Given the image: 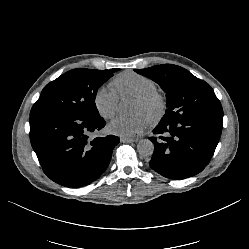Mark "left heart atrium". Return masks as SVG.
<instances>
[{"mask_svg":"<svg viewBox=\"0 0 249 249\" xmlns=\"http://www.w3.org/2000/svg\"><path fill=\"white\" fill-rule=\"evenodd\" d=\"M146 127L147 119L141 114L133 116L117 115L108 124V131L114 135L132 137L140 134Z\"/></svg>","mask_w":249,"mask_h":249,"instance_id":"obj_1","label":"left heart atrium"}]
</instances>
